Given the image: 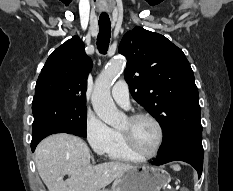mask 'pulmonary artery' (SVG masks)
<instances>
[{
  "instance_id": "pulmonary-artery-1",
  "label": "pulmonary artery",
  "mask_w": 233,
  "mask_h": 191,
  "mask_svg": "<svg viewBox=\"0 0 233 191\" xmlns=\"http://www.w3.org/2000/svg\"><path fill=\"white\" fill-rule=\"evenodd\" d=\"M112 98L118 105L124 108L129 106V90L126 81L120 80L113 86Z\"/></svg>"
}]
</instances>
